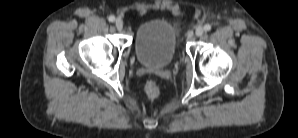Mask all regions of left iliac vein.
Instances as JSON below:
<instances>
[{
	"mask_svg": "<svg viewBox=\"0 0 298 138\" xmlns=\"http://www.w3.org/2000/svg\"><path fill=\"white\" fill-rule=\"evenodd\" d=\"M203 33H204V28H203L202 26H198V27L195 29V35H196V36H201Z\"/></svg>",
	"mask_w": 298,
	"mask_h": 138,
	"instance_id": "obj_1",
	"label": "left iliac vein"
}]
</instances>
